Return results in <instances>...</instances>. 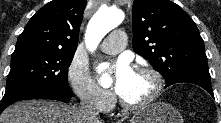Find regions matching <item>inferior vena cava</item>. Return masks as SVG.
<instances>
[{
  "label": "inferior vena cava",
  "instance_id": "obj_1",
  "mask_svg": "<svg viewBox=\"0 0 221 123\" xmlns=\"http://www.w3.org/2000/svg\"><path fill=\"white\" fill-rule=\"evenodd\" d=\"M79 109L85 122H97V120H99V112L95 108L94 104L91 102L90 97L85 98L81 102Z\"/></svg>",
  "mask_w": 221,
  "mask_h": 123
}]
</instances>
